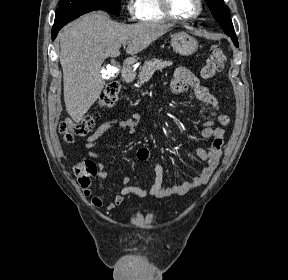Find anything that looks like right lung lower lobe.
I'll use <instances>...</instances> for the list:
<instances>
[{
	"label": "right lung lower lobe",
	"instance_id": "obj_1",
	"mask_svg": "<svg viewBox=\"0 0 288 280\" xmlns=\"http://www.w3.org/2000/svg\"><path fill=\"white\" fill-rule=\"evenodd\" d=\"M103 8L101 7H96V6H92V7H84L81 9H75V10H71L63 15H61L60 17L55 18V23L53 25L52 28V40H54L58 34V31L68 22L74 20L75 18L94 11V10H102Z\"/></svg>",
	"mask_w": 288,
	"mask_h": 280
}]
</instances>
